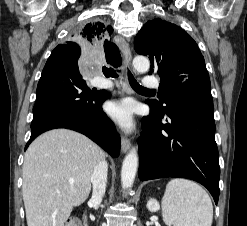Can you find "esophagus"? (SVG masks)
<instances>
[{
  "label": "esophagus",
  "mask_w": 247,
  "mask_h": 226,
  "mask_svg": "<svg viewBox=\"0 0 247 226\" xmlns=\"http://www.w3.org/2000/svg\"><path fill=\"white\" fill-rule=\"evenodd\" d=\"M116 43L119 47V49L121 50L125 62L128 66H130L131 64V59H132V55H131V50L129 47V44L127 43V41L125 40L124 37L122 36H117L116 37ZM130 148V141L128 138L126 137H122L121 139V150L123 153L127 152Z\"/></svg>",
  "instance_id": "esophagus-1"
}]
</instances>
